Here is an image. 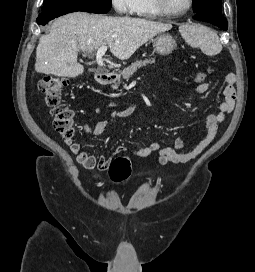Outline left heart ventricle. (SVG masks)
<instances>
[{
    "mask_svg": "<svg viewBox=\"0 0 255 272\" xmlns=\"http://www.w3.org/2000/svg\"><path fill=\"white\" fill-rule=\"evenodd\" d=\"M165 4L170 11L178 12L187 7L188 0H165Z\"/></svg>",
    "mask_w": 255,
    "mask_h": 272,
    "instance_id": "left-heart-ventricle-1",
    "label": "left heart ventricle"
}]
</instances>
